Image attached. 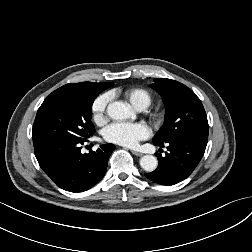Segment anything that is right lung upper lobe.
I'll list each match as a JSON object with an SVG mask.
<instances>
[{"instance_id":"right-lung-upper-lobe-1","label":"right lung upper lobe","mask_w":252,"mask_h":252,"mask_svg":"<svg viewBox=\"0 0 252 252\" xmlns=\"http://www.w3.org/2000/svg\"><path fill=\"white\" fill-rule=\"evenodd\" d=\"M110 86H112L111 83L80 82L74 84H66L62 86V88H69L80 92H88L98 95Z\"/></svg>"}]
</instances>
